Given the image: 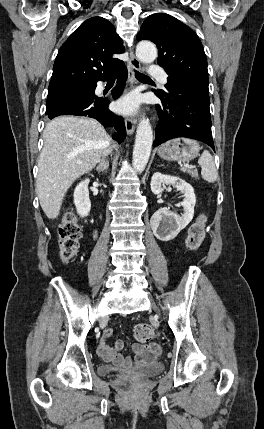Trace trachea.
Here are the masks:
<instances>
[{
    "label": "trachea",
    "instance_id": "trachea-1",
    "mask_svg": "<svg viewBox=\"0 0 264 429\" xmlns=\"http://www.w3.org/2000/svg\"><path fill=\"white\" fill-rule=\"evenodd\" d=\"M135 76H136V78L137 79H139V80H147V79H150L148 76H146V75H144V74H142V73H139V72H135Z\"/></svg>",
    "mask_w": 264,
    "mask_h": 429
}]
</instances>
